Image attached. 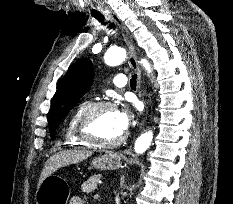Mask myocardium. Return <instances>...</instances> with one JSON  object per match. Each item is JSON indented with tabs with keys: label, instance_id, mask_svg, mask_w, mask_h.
<instances>
[{
	"label": "myocardium",
	"instance_id": "1",
	"mask_svg": "<svg viewBox=\"0 0 233 204\" xmlns=\"http://www.w3.org/2000/svg\"><path fill=\"white\" fill-rule=\"evenodd\" d=\"M105 109H115V104L110 101H97L90 103L83 109L78 117L76 124V133L80 139H82L89 145L100 147H114L121 144L126 138V135L123 134L122 136L114 140H101L96 138L90 132V125L93 118L97 113Z\"/></svg>",
	"mask_w": 233,
	"mask_h": 204
}]
</instances>
